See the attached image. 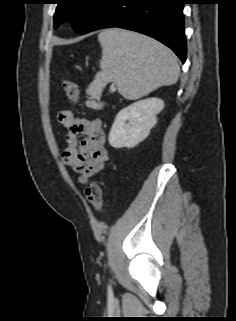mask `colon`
Segmentation results:
<instances>
[{
	"label": "colon",
	"mask_w": 236,
	"mask_h": 321,
	"mask_svg": "<svg viewBox=\"0 0 236 321\" xmlns=\"http://www.w3.org/2000/svg\"><path fill=\"white\" fill-rule=\"evenodd\" d=\"M60 83L67 97L76 103L79 94L76 83L69 79H62ZM85 196L95 211L100 213L103 209V190L101 185L96 181L89 182L85 188Z\"/></svg>",
	"instance_id": "colon-1"
}]
</instances>
